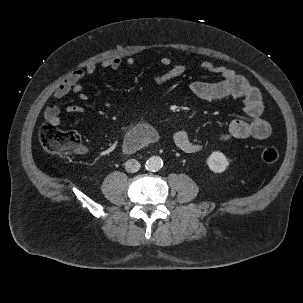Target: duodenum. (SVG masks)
<instances>
[{
	"label": "duodenum",
	"instance_id": "obj_1",
	"mask_svg": "<svg viewBox=\"0 0 303 303\" xmlns=\"http://www.w3.org/2000/svg\"><path fill=\"white\" fill-rule=\"evenodd\" d=\"M155 132L148 127H140L130 131L124 141V148L127 152H134L143 146L155 141Z\"/></svg>",
	"mask_w": 303,
	"mask_h": 303
}]
</instances>
